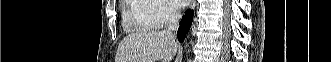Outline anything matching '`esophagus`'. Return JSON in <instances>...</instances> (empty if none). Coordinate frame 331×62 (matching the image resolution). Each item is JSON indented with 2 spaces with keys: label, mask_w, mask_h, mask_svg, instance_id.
<instances>
[{
  "label": "esophagus",
  "mask_w": 331,
  "mask_h": 62,
  "mask_svg": "<svg viewBox=\"0 0 331 62\" xmlns=\"http://www.w3.org/2000/svg\"><path fill=\"white\" fill-rule=\"evenodd\" d=\"M191 7H192V8L195 7V0L192 1Z\"/></svg>",
  "instance_id": "obj_1"
}]
</instances>
